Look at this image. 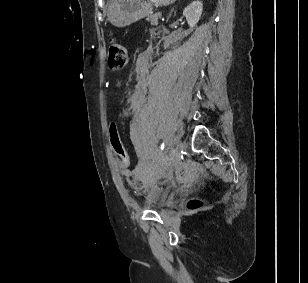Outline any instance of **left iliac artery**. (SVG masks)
<instances>
[{
  "label": "left iliac artery",
  "instance_id": "1",
  "mask_svg": "<svg viewBox=\"0 0 308 283\" xmlns=\"http://www.w3.org/2000/svg\"><path fill=\"white\" fill-rule=\"evenodd\" d=\"M164 146H165V144H164V143H162V145H161V149H162V150L164 149Z\"/></svg>",
  "mask_w": 308,
  "mask_h": 283
}]
</instances>
